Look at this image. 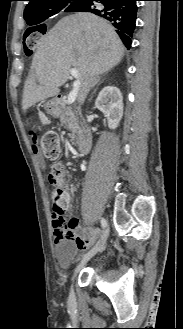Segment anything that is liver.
<instances>
[{"instance_id": "obj_1", "label": "liver", "mask_w": 183, "mask_h": 329, "mask_svg": "<svg viewBox=\"0 0 183 329\" xmlns=\"http://www.w3.org/2000/svg\"><path fill=\"white\" fill-rule=\"evenodd\" d=\"M125 47L108 21L92 13L66 16L44 36L34 54L25 81L22 108L56 96L70 78V69L79 71L82 85H95L100 76L123 58Z\"/></svg>"}]
</instances>
